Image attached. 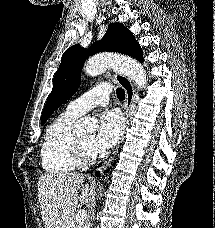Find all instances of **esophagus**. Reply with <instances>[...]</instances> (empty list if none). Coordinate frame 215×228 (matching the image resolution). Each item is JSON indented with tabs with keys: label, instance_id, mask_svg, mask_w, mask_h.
I'll list each match as a JSON object with an SVG mask.
<instances>
[{
	"label": "esophagus",
	"instance_id": "34e87169",
	"mask_svg": "<svg viewBox=\"0 0 215 228\" xmlns=\"http://www.w3.org/2000/svg\"><path fill=\"white\" fill-rule=\"evenodd\" d=\"M114 78L124 89L126 94L124 102V114L126 117V122L128 124L130 118V110L134 99V87L130 78H128L126 75H123L122 73H114ZM112 159L113 157H111L107 162L104 163V165L101 167V171L105 170L110 165Z\"/></svg>",
	"mask_w": 215,
	"mask_h": 228
}]
</instances>
